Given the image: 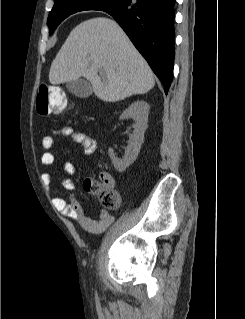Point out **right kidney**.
Here are the masks:
<instances>
[{
    "label": "right kidney",
    "mask_w": 245,
    "mask_h": 319,
    "mask_svg": "<svg viewBox=\"0 0 245 319\" xmlns=\"http://www.w3.org/2000/svg\"><path fill=\"white\" fill-rule=\"evenodd\" d=\"M150 106L146 101L139 100L132 103L120 116V120L133 118L135 120L134 132L129 137L128 146L125 150L123 159L115 156L114 150L109 148L108 153L115 169L123 172L128 168L137 158L141 145L144 141V133L147 128L148 115Z\"/></svg>",
    "instance_id": "ca27d5eb"
}]
</instances>
